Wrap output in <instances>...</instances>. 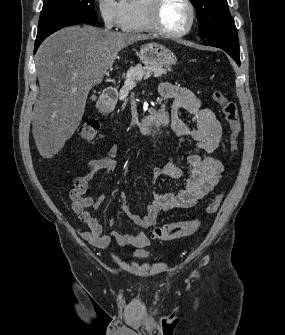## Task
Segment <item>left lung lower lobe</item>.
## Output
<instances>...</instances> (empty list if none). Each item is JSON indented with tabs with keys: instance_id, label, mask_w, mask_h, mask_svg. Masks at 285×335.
<instances>
[{
	"instance_id": "1",
	"label": "left lung lower lobe",
	"mask_w": 285,
	"mask_h": 335,
	"mask_svg": "<svg viewBox=\"0 0 285 335\" xmlns=\"http://www.w3.org/2000/svg\"><path fill=\"white\" fill-rule=\"evenodd\" d=\"M210 35L211 37L204 44L223 49L240 65L237 30L213 32Z\"/></svg>"
}]
</instances>
